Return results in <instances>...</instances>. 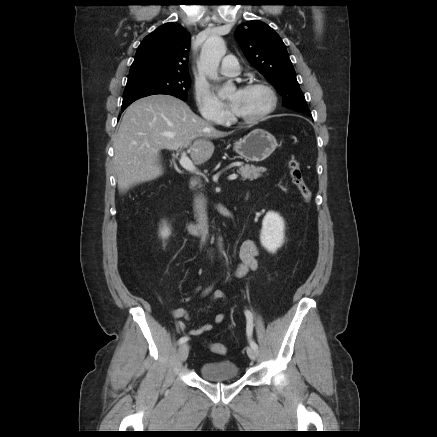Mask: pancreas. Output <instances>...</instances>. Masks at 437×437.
<instances>
[{
  "mask_svg": "<svg viewBox=\"0 0 437 437\" xmlns=\"http://www.w3.org/2000/svg\"><path fill=\"white\" fill-rule=\"evenodd\" d=\"M266 168L264 167H256L254 165L245 164L241 165L238 169V173L242 176V178L254 180L261 176L262 172H265Z\"/></svg>",
  "mask_w": 437,
  "mask_h": 437,
  "instance_id": "obj_1",
  "label": "pancreas"
}]
</instances>
